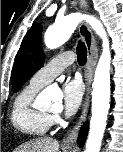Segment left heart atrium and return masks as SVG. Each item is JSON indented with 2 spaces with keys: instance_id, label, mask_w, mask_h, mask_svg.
Instances as JSON below:
<instances>
[{
  "instance_id": "1",
  "label": "left heart atrium",
  "mask_w": 123,
  "mask_h": 152,
  "mask_svg": "<svg viewBox=\"0 0 123 152\" xmlns=\"http://www.w3.org/2000/svg\"><path fill=\"white\" fill-rule=\"evenodd\" d=\"M83 87L79 80H68L63 85V109L66 116H72L82 102Z\"/></svg>"
}]
</instances>
